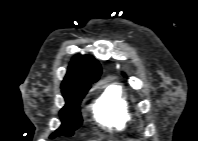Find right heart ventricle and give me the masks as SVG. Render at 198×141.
Wrapping results in <instances>:
<instances>
[{"label": "right heart ventricle", "mask_w": 198, "mask_h": 141, "mask_svg": "<svg viewBox=\"0 0 198 141\" xmlns=\"http://www.w3.org/2000/svg\"><path fill=\"white\" fill-rule=\"evenodd\" d=\"M95 120L104 128L124 132L132 129L135 117L121 86L106 87L92 104Z\"/></svg>", "instance_id": "e07e8e85"}]
</instances>
